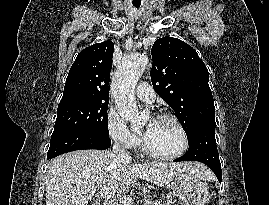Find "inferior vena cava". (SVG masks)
I'll return each instance as SVG.
<instances>
[{
    "instance_id": "inferior-vena-cava-1",
    "label": "inferior vena cava",
    "mask_w": 269,
    "mask_h": 205,
    "mask_svg": "<svg viewBox=\"0 0 269 205\" xmlns=\"http://www.w3.org/2000/svg\"><path fill=\"white\" fill-rule=\"evenodd\" d=\"M112 151L116 156H118L122 159H129L130 158L128 152L124 148L121 147V145L119 143V139H117V138L115 139V143L113 145Z\"/></svg>"
}]
</instances>
